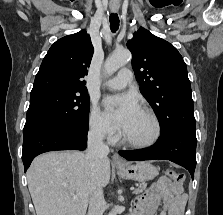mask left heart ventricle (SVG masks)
<instances>
[{
	"instance_id": "1",
	"label": "left heart ventricle",
	"mask_w": 223,
	"mask_h": 215,
	"mask_svg": "<svg viewBox=\"0 0 223 215\" xmlns=\"http://www.w3.org/2000/svg\"><path fill=\"white\" fill-rule=\"evenodd\" d=\"M122 138L136 142L147 141L153 134V124L150 118L140 110L130 122L121 129Z\"/></svg>"
}]
</instances>
